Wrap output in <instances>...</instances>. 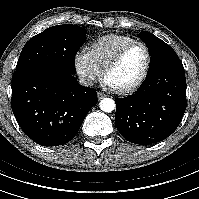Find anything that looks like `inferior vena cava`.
<instances>
[{
    "mask_svg": "<svg viewBox=\"0 0 199 199\" xmlns=\"http://www.w3.org/2000/svg\"><path fill=\"white\" fill-rule=\"evenodd\" d=\"M78 82L79 84L83 85V86H93V81L92 79H90L89 77L80 75L78 77Z\"/></svg>",
    "mask_w": 199,
    "mask_h": 199,
    "instance_id": "obj_1",
    "label": "inferior vena cava"
}]
</instances>
